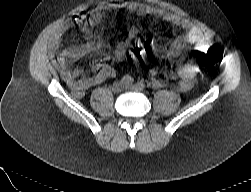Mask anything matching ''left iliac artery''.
Here are the masks:
<instances>
[{
    "mask_svg": "<svg viewBox=\"0 0 251 192\" xmlns=\"http://www.w3.org/2000/svg\"><path fill=\"white\" fill-rule=\"evenodd\" d=\"M148 86H149V84H148ZM136 88H137V90L142 91L145 88V84L143 82H138L136 84Z\"/></svg>",
    "mask_w": 251,
    "mask_h": 192,
    "instance_id": "1",
    "label": "left iliac artery"
}]
</instances>
